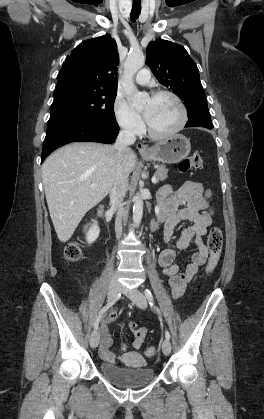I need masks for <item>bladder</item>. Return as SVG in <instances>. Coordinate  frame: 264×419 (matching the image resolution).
<instances>
[{"label":"bladder","mask_w":264,"mask_h":419,"mask_svg":"<svg viewBox=\"0 0 264 419\" xmlns=\"http://www.w3.org/2000/svg\"><path fill=\"white\" fill-rule=\"evenodd\" d=\"M99 368L108 380L125 389L145 386L155 378L154 369L143 364L136 367H122L109 362H102Z\"/></svg>","instance_id":"obj_1"}]
</instances>
